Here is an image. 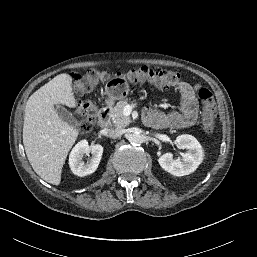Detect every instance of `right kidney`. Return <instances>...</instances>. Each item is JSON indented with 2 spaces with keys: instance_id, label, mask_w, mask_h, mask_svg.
<instances>
[{
  "instance_id": "1",
  "label": "right kidney",
  "mask_w": 257,
  "mask_h": 257,
  "mask_svg": "<svg viewBox=\"0 0 257 257\" xmlns=\"http://www.w3.org/2000/svg\"><path fill=\"white\" fill-rule=\"evenodd\" d=\"M89 153L92 154V157L87 163H84L83 156ZM102 153L103 147L100 144L89 146L86 140L78 142L69 156L71 171L81 177L94 173L100 163Z\"/></svg>"
}]
</instances>
